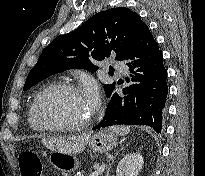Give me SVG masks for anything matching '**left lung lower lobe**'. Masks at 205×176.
Listing matches in <instances>:
<instances>
[{
    "instance_id": "1",
    "label": "left lung lower lobe",
    "mask_w": 205,
    "mask_h": 176,
    "mask_svg": "<svg viewBox=\"0 0 205 176\" xmlns=\"http://www.w3.org/2000/svg\"><path fill=\"white\" fill-rule=\"evenodd\" d=\"M122 60L136 83L123 89L119 96L112 91L104 119L93 129L113 125H148L157 133L162 129L168 94L167 71L157 42L145 24Z\"/></svg>"
}]
</instances>
